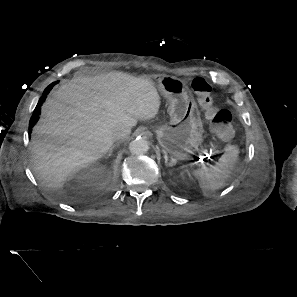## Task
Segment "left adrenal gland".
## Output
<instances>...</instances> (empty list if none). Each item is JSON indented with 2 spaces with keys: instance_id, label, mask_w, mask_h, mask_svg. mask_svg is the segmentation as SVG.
<instances>
[{
  "instance_id": "left-adrenal-gland-1",
  "label": "left adrenal gland",
  "mask_w": 297,
  "mask_h": 297,
  "mask_svg": "<svg viewBox=\"0 0 297 297\" xmlns=\"http://www.w3.org/2000/svg\"><path fill=\"white\" fill-rule=\"evenodd\" d=\"M165 153V155H164V158H165V163L167 164L168 163V156H167V154H166V152H164ZM176 164V161H175V159H171V162L168 164L169 166H174Z\"/></svg>"
}]
</instances>
